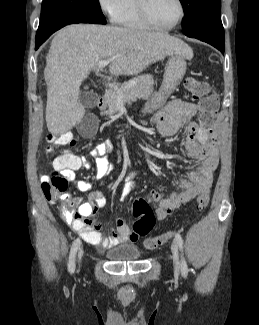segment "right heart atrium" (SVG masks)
<instances>
[{
    "label": "right heart atrium",
    "instance_id": "d8ad5b80",
    "mask_svg": "<svg viewBox=\"0 0 259 325\" xmlns=\"http://www.w3.org/2000/svg\"><path fill=\"white\" fill-rule=\"evenodd\" d=\"M101 11L112 20H116L123 10L126 0H97Z\"/></svg>",
    "mask_w": 259,
    "mask_h": 325
}]
</instances>
